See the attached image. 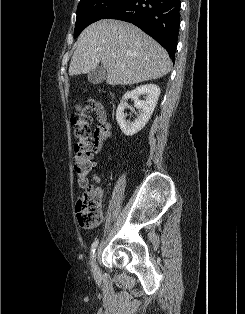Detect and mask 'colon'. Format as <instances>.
<instances>
[{
    "instance_id": "obj_1",
    "label": "colon",
    "mask_w": 245,
    "mask_h": 314,
    "mask_svg": "<svg viewBox=\"0 0 245 314\" xmlns=\"http://www.w3.org/2000/svg\"><path fill=\"white\" fill-rule=\"evenodd\" d=\"M93 103V99H88L79 104L72 117V123L75 126V137L77 138L74 146V171L78 185L85 189L77 199V220L79 225L87 230L95 228L102 218L101 192L92 187L88 181V175L94 168V163L92 162L93 146L90 141V112L93 109Z\"/></svg>"
}]
</instances>
